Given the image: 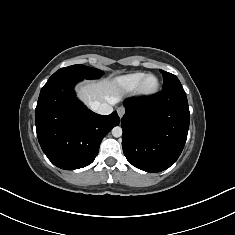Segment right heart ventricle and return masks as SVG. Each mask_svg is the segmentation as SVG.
<instances>
[{
  "mask_svg": "<svg viewBox=\"0 0 235 235\" xmlns=\"http://www.w3.org/2000/svg\"><path fill=\"white\" fill-rule=\"evenodd\" d=\"M145 76L142 72H136L122 76L116 80L117 85L126 92L137 90L142 78Z\"/></svg>",
  "mask_w": 235,
  "mask_h": 235,
  "instance_id": "e07e8e85",
  "label": "right heart ventricle"
}]
</instances>
